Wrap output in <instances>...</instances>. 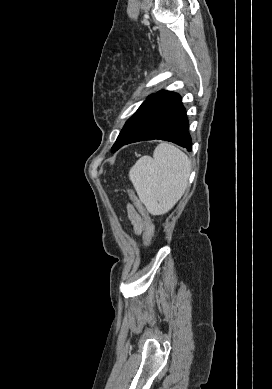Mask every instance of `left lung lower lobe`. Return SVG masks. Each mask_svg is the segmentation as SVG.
<instances>
[{"mask_svg":"<svg viewBox=\"0 0 272 389\" xmlns=\"http://www.w3.org/2000/svg\"><path fill=\"white\" fill-rule=\"evenodd\" d=\"M156 139L173 142L191 151L188 119L177 93L162 90L152 95L116 149L133 142Z\"/></svg>","mask_w":272,"mask_h":389,"instance_id":"obj_1","label":"left lung lower lobe"}]
</instances>
